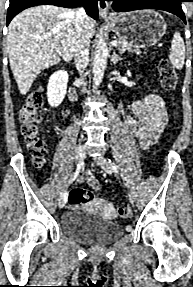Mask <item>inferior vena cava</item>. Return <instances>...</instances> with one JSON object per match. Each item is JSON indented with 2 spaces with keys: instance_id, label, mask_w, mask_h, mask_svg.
Segmentation results:
<instances>
[{
  "instance_id": "1",
  "label": "inferior vena cava",
  "mask_w": 193,
  "mask_h": 287,
  "mask_svg": "<svg viewBox=\"0 0 193 287\" xmlns=\"http://www.w3.org/2000/svg\"><path fill=\"white\" fill-rule=\"evenodd\" d=\"M74 15L77 25L74 62L76 69L82 74L89 61L90 35L88 29L90 19L83 8L74 10ZM81 84L85 85L83 80H81ZM84 91L85 88H83Z\"/></svg>"
}]
</instances>
